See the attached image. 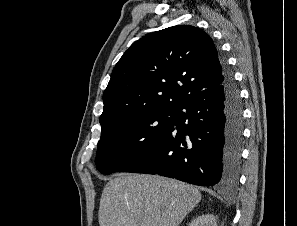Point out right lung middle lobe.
<instances>
[{"mask_svg":"<svg viewBox=\"0 0 297 226\" xmlns=\"http://www.w3.org/2000/svg\"><path fill=\"white\" fill-rule=\"evenodd\" d=\"M177 111H150L114 123L101 131L95 163L104 174L120 171L146 151L174 124Z\"/></svg>","mask_w":297,"mask_h":226,"instance_id":"obj_1","label":"right lung middle lobe"}]
</instances>
